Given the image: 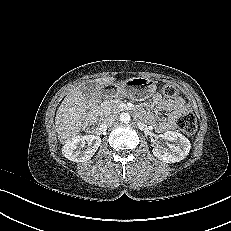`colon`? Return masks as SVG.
<instances>
[{
	"label": "colon",
	"instance_id": "colon-1",
	"mask_svg": "<svg viewBox=\"0 0 231 231\" xmlns=\"http://www.w3.org/2000/svg\"><path fill=\"white\" fill-rule=\"evenodd\" d=\"M166 97H174L177 90L173 85H165L162 90ZM177 127L186 135H193L197 130V121L192 113L180 115L177 119Z\"/></svg>",
	"mask_w": 231,
	"mask_h": 231
}]
</instances>
